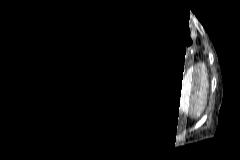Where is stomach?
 <instances>
[{"instance_id":"stomach-1","label":"stomach","mask_w":240,"mask_h":160,"mask_svg":"<svg viewBox=\"0 0 240 160\" xmlns=\"http://www.w3.org/2000/svg\"><path fill=\"white\" fill-rule=\"evenodd\" d=\"M110 43L127 54L140 56L153 68L157 66L159 38L151 32L127 24L112 32Z\"/></svg>"}]
</instances>
